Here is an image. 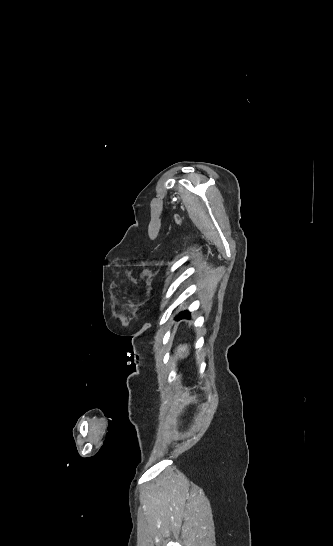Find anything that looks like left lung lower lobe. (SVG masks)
Here are the masks:
<instances>
[{
	"instance_id": "0a47b994",
	"label": "left lung lower lobe",
	"mask_w": 333,
	"mask_h": 546,
	"mask_svg": "<svg viewBox=\"0 0 333 546\" xmlns=\"http://www.w3.org/2000/svg\"><path fill=\"white\" fill-rule=\"evenodd\" d=\"M190 317V312L189 311H183L181 313H179V315L176 317L177 320L179 319H182V318H189Z\"/></svg>"
}]
</instances>
